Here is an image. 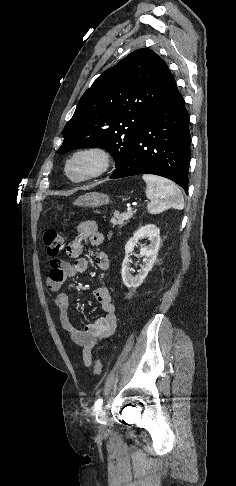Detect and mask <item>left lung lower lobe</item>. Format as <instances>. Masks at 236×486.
Returning <instances> with one entry per match:
<instances>
[{
  "label": "left lung lower lobe",
  "mask_w": 236,
  "mask_h": 486,
  "mask_svg": "<svg viewBox=\"0 0 236 486\" xmlns=\"http://www.w3.org/2000/svg\"><path fill=\"white\" fill-rule=\"evenodd\" d=\"M189 114L176 87L155 111L110 178L154 174L173 180L188 190L191 159Z\"/></svg>",
  "instance_id": "obj_1"
}]
</instances>
